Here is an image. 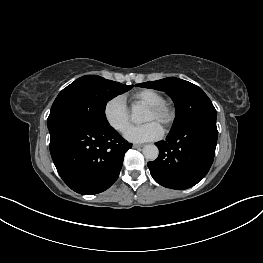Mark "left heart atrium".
<instances>
[{
	"mask_svg": "<svg viewBox=\"0 0 263 263\" xmlns=\"http://www.w3.org/2000/svg\"><path fill=\"white\" fill-rule=\"evenodd\" d=\"M163 134L161 125L149 121L142 125L129 127L124 134L125 139L134 143H142L159 139Z\"/></svg>",
	"mask_w": 263,
	"mask_h": 263,
	"instance_id": "1",
	"label": "left heart atrium"
}]
</instances>
